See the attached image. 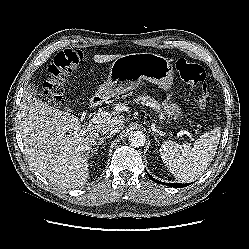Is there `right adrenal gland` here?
<instances>
[{"mask_svg": "<svg viewBox=\"0 0 249 249\" xmlns=\"http://www.w3.org/2000/svg\"><path fill=\"white\" fill-rule=\"evenodd\" d=\"M108 138H111V136H104V137L99 138V141L94 144L96 146L94 148V151H97L102 146L104 141Z\"/></svg>", "mask_w": 249, "mask_h": 249, "instance_id": "2a0ac1e0", "label": "right adrenal gland"}]
</instances>
